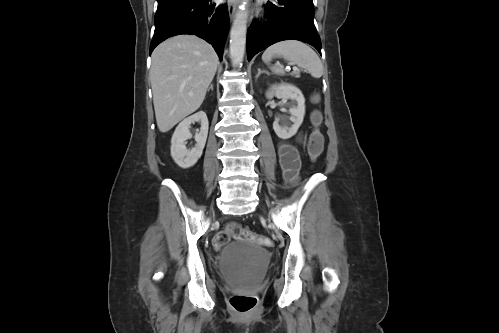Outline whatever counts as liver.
<instances>
[{
    "label": "liver",
    "instance_id": "6515ba94",
    "mask_svg": "<svg viewBox=\"0 0 499 333\" xmlns=\"http://www.w3.org/2000/svg\"><path fill=\"white\" fill-rule=\"evenodd\" d=\"M218 63L213 47L193 35H177L156 47L150 80L160 132H168L201 106Z\"/></svg>",
    "mask_w": 499,
    "mask_h": 333
}]
</instances>
